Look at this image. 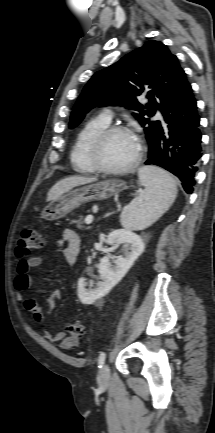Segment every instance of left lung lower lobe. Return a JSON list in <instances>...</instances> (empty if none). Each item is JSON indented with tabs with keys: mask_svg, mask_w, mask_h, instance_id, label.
<instances>
[{
	"mask_svg": "<svg viewBox=\"0 0 215 433\" xmlns=\"http://www.w3.org/2000/svg\"><path fill=\"white\" fill-rule=\"evenodd\" d=\"M162 114L169 132L160 130L145 164L158 165L173 173L191 194L202 149L197 104L186 78L168 100Z\"/></svg>",
	"mask_w": 215,
	"mask_h": 433,
	"instance_id": "left-lung-lower-lobe-1",
	"label": "left lung lower lobe"
}]
</instances>
